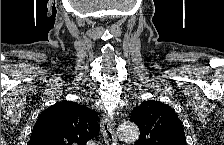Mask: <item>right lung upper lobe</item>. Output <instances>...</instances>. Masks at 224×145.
<instances>
[{"mask_svg":"<svg viewBox=\"0 0 224 145\" xmlns=\"http://www.w3.org/2000/svg\"><path fill=\"white\" fill-rule=\"evenodd\" d=\"M98 113L72 101L58 102L38 117L29 145H85L98 135Z\"/></svg>","mask_w":224,"mask_h":145,"instance_id":"1","label":"right lung upper lobe"}]
</instances>
